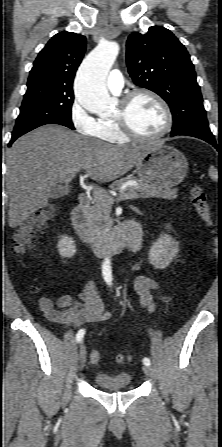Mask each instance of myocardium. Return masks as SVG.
<instances>
[{
    "mask_svg": "<svg viewBox=\"0 0 222 447\" xmlns=\"http://www.w3.org/2000/svg\"><path fill=\"white\" fill-rule=\"evenodd\" d=\"M139 95H146L151 97L163 110L165 123L160 132L155 135H141L137 133L129 123V106L131 105L132 101ZM114 120L125 137L137 142H150L159 140L167 135L173 126V114L168 103L158 93L148 88H138L125 94L121 100L119 110L115 115Z\"/></svg>",
    "mask_w": 222,
    "mask_h": 447,
    "instance_id": "obj_1",
    "label": "myocardium"
}]
</instances>
